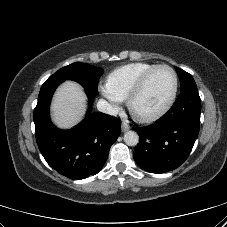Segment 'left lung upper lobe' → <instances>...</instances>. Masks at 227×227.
<instances>
[{"label": "left lung upper lobe", "mask_w": 227, "mask_h": 227, "mask_svg": "<svg viewBox=\"0 0 227 227\" xmlns=\"http://www.w3.org/2000/svg\"><path fill=\"white\" fill-rule=\"evenodd\" d=\"M175 69H176L177 74L179 75L181 91H183L189 87L196 86L193 77L189 73L185 72L184 70H182L178 67H175Z\"/></svg>", "instance_id": "5c2ea615"}]
</instances>
